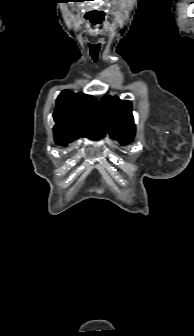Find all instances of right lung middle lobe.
Instances as JSON below:
<instances>
[{
	"mask_svg": "<svg viewBox=\"0 0 194 336\" xmlns=\"http://www.w3.org/2000/svg\"><path fill=\"white\" fill-rule=\"evenodd\" d=\"M68 142H71V141H66V140H63V139H59V140H56V143L57 144H60V145H67Z\"/></svg>",
	"mask_w": 194,
	"mask_h": 336,
	"instance_id": "obj_1",
	"label": "right lung middle lobe"
}]
</instances>
